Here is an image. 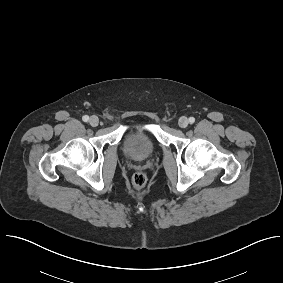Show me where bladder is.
I'll use <instances>...</instances> for the list:
<instances>
[{"label":"bladder","mask_w":283,"mask_h":283,"mask_svg":"<svg viewBox=\"0 0 283 283\" xmlns=\"http://www.w3.org/2000/svg\"><path fill=\"white\" fill-rule=\"evenodd\" d=\"M122 149L129 158L145 159L154 153L155 144L144 132L131 131L125 136Z\"/></svg>","instance_id":"bladder-1"}]
</instances>
